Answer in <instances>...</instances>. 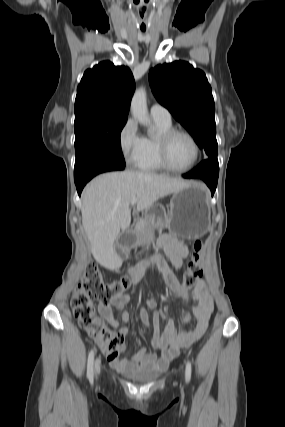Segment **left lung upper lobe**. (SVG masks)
<instances>
[{
	"label": "left lung upper lobe",
	"instance_id": "left-lung-upper-lobe-1",
	"mask_svg": "<svg viewBox=\"0 0 285 427\" xmlns=\"http://www.w3.org/2000/svg\"><path fill=\"white\" fill-rule=\"evenodd\" d=\"M152 92L193 136L209 157L217 158L215 104L206 75L185 61L165 63L149 72Z\"/></svg>",
	"mask_w": 285,
	"mask_h": 427
}]
</instances>
